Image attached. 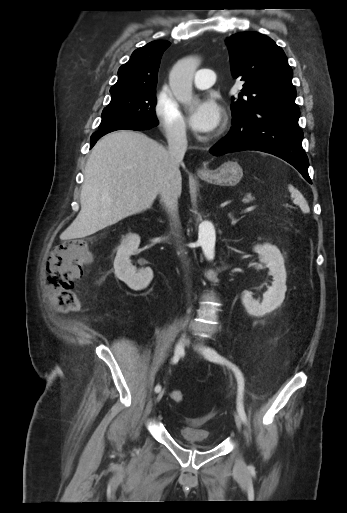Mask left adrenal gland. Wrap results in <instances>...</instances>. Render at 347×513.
<instances>
[{"mask_svg": "<svg viewBox=\"0 0 347 513\" xmlns=\"http://www.w3.org/2000/svg\"><path fill=\"white\" fill-rule=\"evenodd\" d=\"M228 216H229V218L231 219V224H232V225H235V224H236L239 220H241V218H242V217H241V218H239V219H235V218H234V216H233V214H232L231 212L228 214Z\"/></svg>", "mask_w": 347, "mask_h": 513, "instance_id": "obj_1", "label": "left adrenal gland"}]
</instances>
